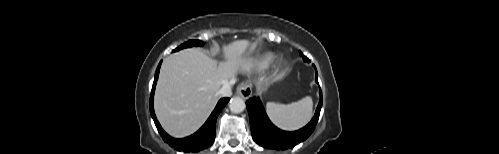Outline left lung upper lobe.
Segmentation results:
<instances>
[{
    "mask_svg": "<svg viewBox=\"0 0 499 154\" xmlns=\"http://www.w3.org/2000/svg\"><path fill=\"white\" fill-rule=\"evenodd\" d=\"M301 54H302V53H301ZM301 54H300V55H301ZM302 57H303V56H302ZM303 60H304L305 62H310V60H309L307 57H305V56L303 57Z\"/></svg>",
    "mask_w": 499,
    "mask_h": 154,
    "instance_id": "left-lung-upper-lobe-1",
    "label": "left lung upper lobe"
}]
</instances>
